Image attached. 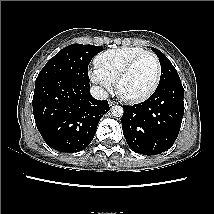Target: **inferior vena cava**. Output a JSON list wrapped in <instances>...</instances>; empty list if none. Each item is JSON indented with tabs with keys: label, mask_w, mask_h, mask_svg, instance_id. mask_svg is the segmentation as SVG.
<instances>
[{
	"label": "inferior vena cava",
	"mask_w": 214,
	"mask_h": 214,
	"mask_svg": "<svg viewBox=\"0 0 214 214\" xmlns=\"http://www.w3.org/2000/svg\"><path fill=\"white\" fill-rule=\"evenodd\" d=\"M90 93L97 100H105L108 98L107 91L99 86H92L90 88Z\"/></svg>",
	"instance_id": "inferior-vena-cava-1"
}]
</instances>
